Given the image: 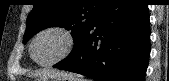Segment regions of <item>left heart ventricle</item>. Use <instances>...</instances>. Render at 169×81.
I'll use <instances>...</instances> for the list:
<instances>
[{
	"mask_svg": "<svg viewBox=\"0 0 169 81\" xmlns=\"http://www.w3.org/2000/svg\"><path fill=\"white\" fill-rule=\"evenodd\" d=\"M65 38L55 32L41 35L34 44V57L40 63H48L57 59L66 48Z\"/></svg>",
	"mask_w": 169,
	"mask_h": 81,
	"instance_id": "1",
	"label": "left heart ventricle"
}]
</instances>
